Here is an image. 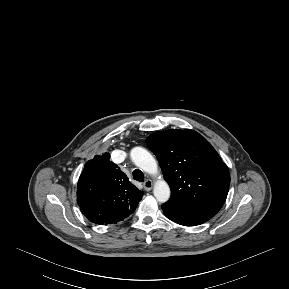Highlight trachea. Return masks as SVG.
<instances>
[{
    "instance_id": "obj_1",
    "label": "trachea",
    "mask_w": 289,
    "mask_h": 289,
    "mask_svg": "<svg viewBox=\"0 0 289 289\" xmlns=\"http://www.w3.org/2000/svg\"><path fill=\"white\" fill-rule=\"evenodd\" d=\"M133 178L139 182H143L144 181V174L141 170L136 169L133 171Z\"/></svg>"
}]
</instances>
